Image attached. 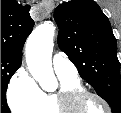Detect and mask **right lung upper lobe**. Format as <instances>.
Returning <instances> with one entry per match:
<instances>
[{
    "label": "right lung upper lobe",
    "mask_w": 121,
    "mask_h": 113,
    "mask_svg": "<svg viewBox=\"0 0 121 113\" xmlns=\"http://www.w3.org/2000/svg\"><path fill=\"white\" fill-rule=\"evenodd\" d=\"M29 10V5L1 0V55L22 59L23 45L34 26Z\"/></svg>",
    "instance_id": "obj_1"
}]
</instances>
